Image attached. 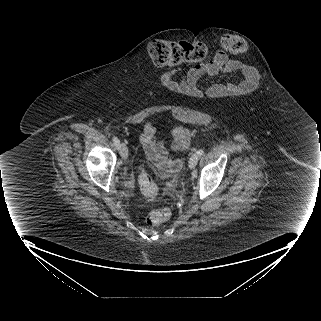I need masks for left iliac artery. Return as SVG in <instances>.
Segmentation results:
<instances>
[{"label": "left iliac artery", "mask_w": 321, "mask_h": 321, "mask_svg": "<svg viewBox=\"0 0 321 321\" xmlns=\"http://www.w3.org/2000/svg\"><path fill=\"white\" fill-rule=\"evenodd\" d=\"M196 154H197L198 156H201V155L204 154V150H203V149H200V150H198V151L196 152Z\"/></svg>", "instance_id": "44dca946"}]
</instances>
